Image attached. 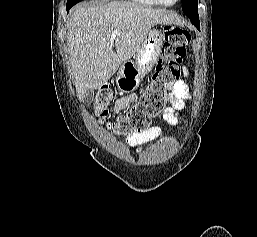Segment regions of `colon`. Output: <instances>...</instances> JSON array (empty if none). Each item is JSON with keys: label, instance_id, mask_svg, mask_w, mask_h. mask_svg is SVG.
Segmentation results:
<instances>
[{"label": "colon", "instance_id": "colon-1", "mask_svg": "<svg viewBox=\"0 0 257 237\" xmlns=\"http://www.w3.org/2000/svg\"><path fill=\"white\" fill-rule=\"evenodd\" d=\"M163 37L162 57L157 62L151 81L139 102L126 114L116 121H107L108 107L115 98L111 86H103L95 96L94 112L97 119L106 123L117 135H130L146 130L151 119L163 110L167 91L180 76V66L191 39L190 33L179 27L168 26L163 31Z\"/></svg>", "mask_w": 257, "mask_h": 237}]
</instances>
